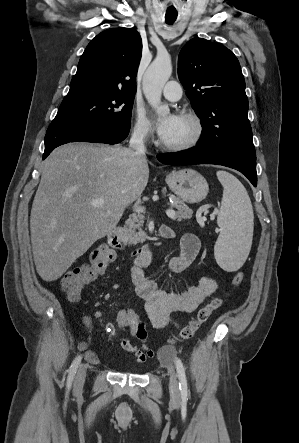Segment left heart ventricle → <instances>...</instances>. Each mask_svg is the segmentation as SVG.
Wrapping results in <instances>:
<instances>
[{"label": "left heart ventricle", "mask_w": 299, "mask_h": 443, "mask_svg": "<svg viewBox=\"0 0 299 443\" xmlns=\"http://www.w3.org/2000/svg\"><path fill=\"white\" fill-rule=\"evenodd\" d=\"M193 134V126L192 124L179 117L178 123L174 130L164 139L163 141L167 143H182L187 141Z\"/></svg>", "instance_id": "1"}]
</instances>
